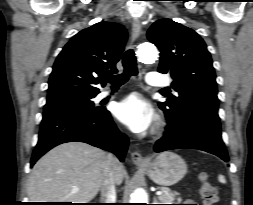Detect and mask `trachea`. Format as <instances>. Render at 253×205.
I'll return each instance as SVG.
<instances>
[{
    "mask_svg": "<svg viewBox=\"0 0 253 205\" xmlns=\"http://www.w3.org/2000/svg\"><path fill=\"white\" fill-rule=\"evenodd\" d=\"M124 72L118 75H107L103 80L112 85L113 88H118L128 81L131 76H137L136 57L132 49L127 50L123 54ZM165 90V89H163Z\"/></svg>",
    "mask_w": 253,
    "mask_h": 205,
    "instance_id": "3493384b",
    "label": "trachea"
}]
</instances>
